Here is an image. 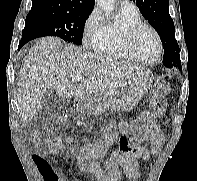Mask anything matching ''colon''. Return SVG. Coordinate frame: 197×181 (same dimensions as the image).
<instances>
[{"mask_svg":"<svg viewBox=\"0 0 197 181\" xmlns=\"http://www.w3.org/2000/svg\"><path fill=\"white\" fill-rule=\"evenodd\" d=\"M169 93V84L164 77H160L156 80L152 97L150 100V105L152 111L144 112L140 115L139 119L135 122L136 132L135 138L140 139L147 132L151 131L155 125V120L157 117L162 116L166 112V96ZM70 120V115L68 113H62L54 117L50 122V129H60L68 125ZM134 141V140H133ZM135 142V141H134ZM121 148L124 151H130L131 148L125 139H121Z\"/></svg>","mask_w":197,"mask_h":181,"instance_id":"colon-1","label":"colon"}]
</instances>
